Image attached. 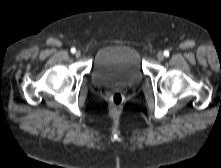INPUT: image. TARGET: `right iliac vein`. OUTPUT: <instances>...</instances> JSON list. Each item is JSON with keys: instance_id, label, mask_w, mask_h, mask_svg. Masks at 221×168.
Instances as JSON below:
<instances>
[{"instance_id": "right-iliac-vein-1", "label": "right iliac vein", "mask_w": 221, "mask_h": 168, "mask_svg": "<svg viewBox=\"0 0 221 168\" xmlns=\"http://www.w3.org/2000/svg\"><path fill=\"white\" fill-rule=\"evenodd\" d=\"M75 56H76L77 58H79V57L81 56V52H80V51H76V52H75Z\"/></svg>"}]
</instances>
